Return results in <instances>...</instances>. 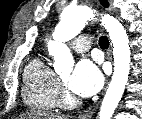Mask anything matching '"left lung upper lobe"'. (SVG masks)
Segmentation results:
<instances>
[{
    "mask_svg": "<svg viewBox=\"0 0 142 119\" xmlns=\"http://www.w3.org/2000/svg\"><path fill=\"white\" fill-rule=\"evenodd\" d=\"M101 3L103 4V6L107 7V1L106 0H101Z\"/></svg>",
    "mask_w": 142,
    "mask_h": 119,
    "instance_id": "left-lung-upper-lobe-1",
    "label": "left lung upper lobe"
}]
</instances>
